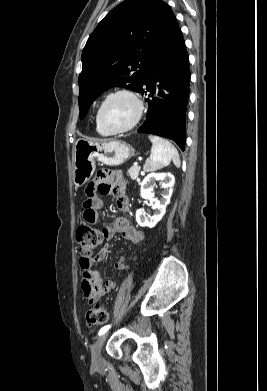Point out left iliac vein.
I'll return each instance as SVG.
<instances>
[{
	"label": "left iliac vein",
	"mask_w": 267,
	"mask_h": 391,
	"mask_svg": "<svg viewBox=\"0 0 267 391\" xmlns=\"http://www.w3.org/2000/svg\"><path fill=\"white\" fill-rule=\"evenodd\" d=\"M107 337H108V333L105 332L104 334L98 337V339L95 341V343L92 346V350H91L92 366L97 370H101L104 367V361L101 355V348L105 343Z\"/></svg>",
	"instance_id": "obj_1"
}]
</instances>
